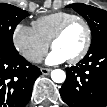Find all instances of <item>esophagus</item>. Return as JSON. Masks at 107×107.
I'll return each instance as SVG.
<instances>
[{
    "instance_id": "esophagus-1",
    "label": "esophagus",
    "mask_w": 107,
    "mask_h": 107,
    "mask_svg": "<svg viewBox=\"0 0 107 107\" xmlns=\"http://www.w3.org/2000/svg\"><path fill=\"white\" fill-rule=\"evenodd\" d=\"M51 71L52 69L50 68H41V72L43 75H48Z\"/></svg>"
}]
</instances>
